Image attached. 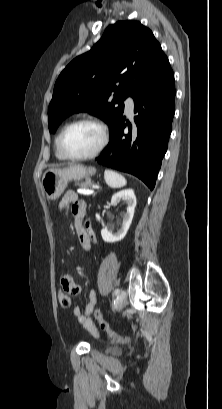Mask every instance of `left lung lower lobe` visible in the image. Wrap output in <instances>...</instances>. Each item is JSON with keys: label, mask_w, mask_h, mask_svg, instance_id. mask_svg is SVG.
<instances>
[{"label": "left lung lower lobe", "mask_w": 222, "mask_h": 409, "mask_svg": "<svg viewBox=\"0 0 222 409\" xmlns=\"http://www.w3.org/2000/svg\"><path fill=\"white\" fill-rule=\"evenodd\" d=\"M174 101V74L170 69L134 97V112L139 113L134 117L137 138L124 135L125 117L120 115L110 128V143L97 162L137 176L152 190L167 151Z\"/></svg>", "instance_id": "0a47b994"}]
</instances>
